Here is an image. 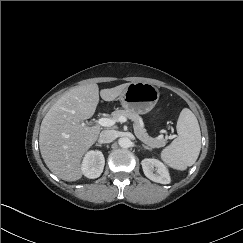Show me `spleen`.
Wrapping results in <instances>:
<instances>
[{
    "label": "spleen",
    "mask_w": 243,
    "mask_h": 243,
    "mask_svg": "<svg viewBox=\"0 0 243 243\" xmlns=\"http://www.w3.org/2000/svg\"><path fill=\"white\" fill-rule=\"evenodd\" d=\"M178 137L161 152V159L173 169L185 170L192 166L200 153L201 132L193 112L184 108L177 121Z\"/></svg>",
    "instance_id": "obj_1"
}]
</instances>
